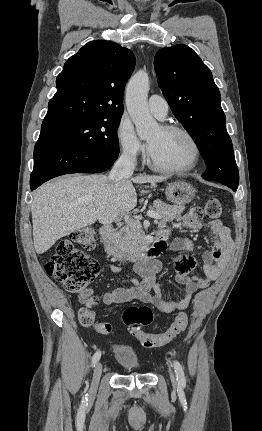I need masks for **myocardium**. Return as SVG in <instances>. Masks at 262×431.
<instances>
[{
  "instance_id": "f54148a6",
  "label": "myocardium",
  "mask_w": 262,
  "mask_h": 431,
  "mask_svg": "<svg viewBox=\"0 0 262 431\" xmlns=\"http://www.w3.org/2000/svg\"><path fill=\"white\" fill-rule=\"evenodd\" d=\"M160 128L166 132H178L183 134L190 142L192 147V155L190 161L185 166L180 167H167L158 164L152 157L151 152L148 154L147 163L148 165L157 171L168 173V174H184L192 171L198 164L201 156L200 146L194 137V135L185 127L177 124H162Z\"/></svg>"
}]
</instances>
